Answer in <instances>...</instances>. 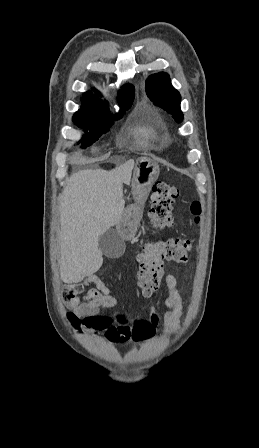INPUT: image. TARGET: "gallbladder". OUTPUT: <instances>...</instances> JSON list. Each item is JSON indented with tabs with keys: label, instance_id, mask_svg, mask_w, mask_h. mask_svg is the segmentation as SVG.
<instances>
[{
	"label": "gallbladder",
	"instance_id": "gallbladder-1",
	"mask_svg": "<svg viewBox=\"0 0 259 448\" xmlns=\"http://www.w3.org/2000/svg\"><path fill=\"white\" fill-rule=\"evenodd\" d=\"M98 248L106 258H120L125 252V242L115 230H107L99 236Z\"/></svg>",
	"mask_w": 259,
	"mask_h": 448
}]
</instances>
